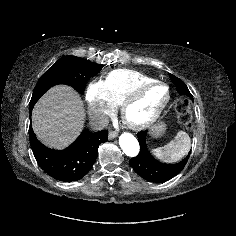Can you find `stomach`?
I'll return each mask as SVG.
<instances>
[{
  "instance_id": "stomach-1",
  "label": "stomach",
  "mask_w": 236,
  "mask_h": 236,
  "mask_svg": "<svg viewBox=\"0 0 236 236\" xmlns=\"http://www.w3.org/2000/svg\"><path fill=\"white\" fill-rule=\"evenodd\" d=\"M166 125L163 122L157 123L151 130L153 137H160L165 133Z\"/></svg>"
}]
</instances>
